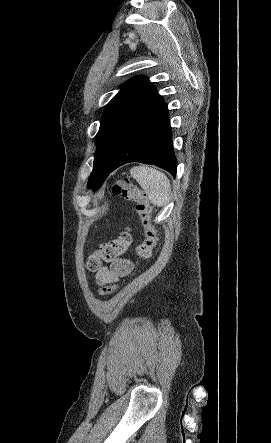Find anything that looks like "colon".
<instances>
[{
  "label": "colon",
  "mask_w": 271,
  "mask_h": 443,
  "mask_svg": "<svg viewBox=\"0 0 271 443\" xmlns=\"http://www.w3.org/2000/svg\"><path fill=\"white\" fill-rule=\"evenodd\" d=\"M113 192L127 200L134 201L137 212L144 227V239L137 247V255L141 259L151 256L157 242V232L151 218V206L145 193L136 187L130 180L121 179L113 187ZM132 244V233L129 229L122 231L118 237L103 243L87 259V268L96 272L101 269L103 263L110 264L117 257L125 255ZM118 288L115 283L104 285L100 288L101 296H108Z\"/></svg>",
  "instance_id": "5ec220e1"
}]
</instances>
